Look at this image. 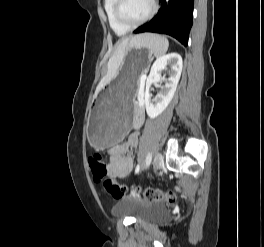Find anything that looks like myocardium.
Segmentation results:
<instances>
[{"instance_id":"obj_1","label":"myocardium","mask_w":264,"mask_h":247,"mask_svg":"<svg viewBox=\"0 0 264 247\" xmlns=\"http://www.w3.org/2000/svg\"><path fill=\"white\" fill-rule=\"evenodd\" d=\"M124 2H125V0H115L114 14H115L116 20L120 24H122L123 26H125L129 29L138 27V26L144 24L145 22H147L149 19L152 18V16L155 14L156 9H157L156 1L151 0V6H150L148 13L143 18H141L137 21H130L124 15V12H123Z\"/></svg>"}]
</instances>
